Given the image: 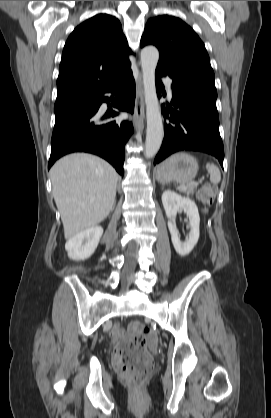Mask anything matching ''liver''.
<instances>
[{"label":"liver","instance_id":"1","mask_svg":"<svg viewBox=\"0 0 271 418\" xmlns=\"http://www.w3.org/2000/svg\"><path fill=\"white\" fill-rule=\"evenodd\" d=\"M50 174L65 239L96 226L112 211L118 174L103 159L70 154L57 161Z\"/></svg>","mask_w":271,"mask_h":418}]
</instances>
